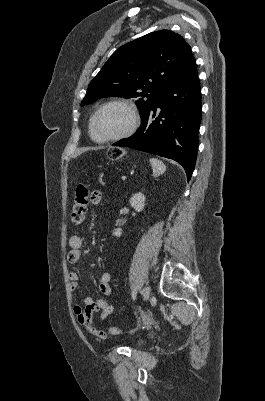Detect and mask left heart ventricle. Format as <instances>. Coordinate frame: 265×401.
I'll use <instances>...</instances> for the list:
<instances>
[{"label":"left heart ventricle","instance_id":"1","mask_svg":"<svg viewBox=\"0 0 265 401\" xmlns=\"http://www.w3.org/2000/svg\"><path fill=\"white\" fill-rule=\"evenodd\" d=\"M129 122V112L122 106H110L104 109L93 125L94 136L105 139L119 134Z\"/></svg>","mask_w":265,"mask_h":401}]
</instances>
